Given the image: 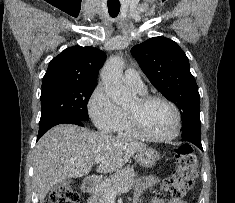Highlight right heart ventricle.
I'll list each match as a JSON object with an SVG mask.
<instances>
[{"instance_id": "obj_1", "label": "right heart ventricle", "mask_w": 235, "mask_h": 203, "mask_svg": "<svg viewBox=\"0 0 235 203\" xmlns=\"http://www.w3.org/2000/svg\"><path fill=\"white\" fill-rule=\"evenodd\" d=\"M139 93L143 94L144 92H139ZM113 132L119 137H125V138H136V137H138L132 131V129L129 125L125 108H121V118H120V120H119L118 124L116 125Z\"/></svg>"}]
</instances>
